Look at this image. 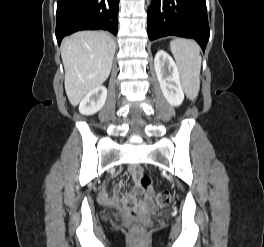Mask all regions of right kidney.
<instances>
[{
    "mask_svg": "<svg viewBox=\"0 0 264 247\" xmlns=\"http://www.w3.org/2000/svg\"><path fill=\"white\" fill-rule=\"evenodd\" d=\"M107 89L99 86L85 95L79 105V112L83 115H93L97 113L105 104Z\"/></svg>",
    "mask_w": 264,
    "mask_h": 247,
    "instance_id": "ca27d5eb",
    "label": "right kidney"
}]
</instances>
